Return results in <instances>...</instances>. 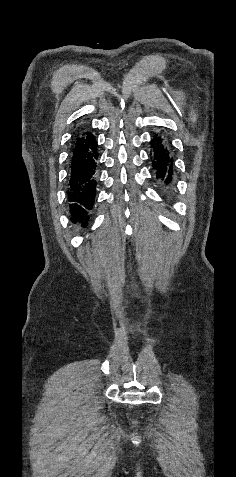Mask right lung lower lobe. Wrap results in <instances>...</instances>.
<instances>
[{
    "label": "right lung lower lobe",
    "instance_id": "obj_1",
    "mask_svg": "<svg viewBox=\"0 0 236 477\" xmlns=\"http://www.w3.org/2000/svg\"><path fill=\"white\" fill-rule=\"evenodd\" d=\"M97 141L85 129L80 130L71 149L70 176L67 190L70 212L78 219L92 209L96 189Z\"/></svg>",
    "mask_w": 236,
    "mask_h": 477
}]
</instances>
